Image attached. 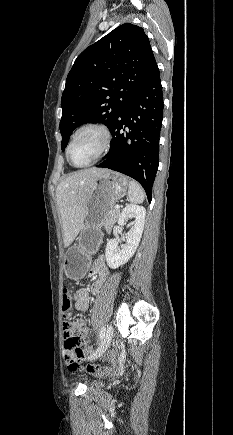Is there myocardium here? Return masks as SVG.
Listing matches in <instances>:
<instances>
[{
  "mask_svg": "<svg viewBox=\"0 0 233 435\" xmlns=\"http://www.w3.org/2000/svg\"><path fill=\"white\" fill-rule=\"evenodd\" d=\"M90 130L97 132L101 136V146L99 148V151L97 152L96 156L88 163L83 164V165H75L74 163H72V161L70 159L71 146L80 134H82L83 132H86V131H90ZM111 137L112 136H111L110 130L103 124H100L97 122H87V123L80 125L73 132V134L69 140V143L67 145V148H66V158H67L68 162L70 163L71 166H73L75 168H87V167H90V166L96 164L102 158L104 153L106 152V150L110 144Z\"/></svg>",
  "mask_w": 233,
  "mask_h": 435,
  "instance_id": "f54148a6",
  "label": "myocardium"
}]
</instances>
